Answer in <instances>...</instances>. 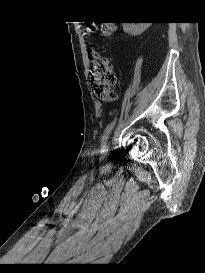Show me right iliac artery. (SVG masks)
Instances as JSON below:
<instances>
[{
  "mask_svg": "<svg viewBox=\"0 0 205 273\" xmlns=\"http://www.w3.org/2000/svg\"><path fill=\"white\" fill-rule=\"evenodd\" d=\"M115 122H116V120L114 121V122H112L108 127H107V129L105 130V132H104V134H103V136H102V146H101V151L102 152H104L106 149H105V145H106V141H107V139H108V137H109V135H110V133H111V131H112V129H113V127H114V125H115Z\"/></svg>",
  "mask_w": 205,
  "mask_h": 273,
  "instance_id": "right-iliac-artery-1",
  "label": "right iliac artery"
}]
</instances>
